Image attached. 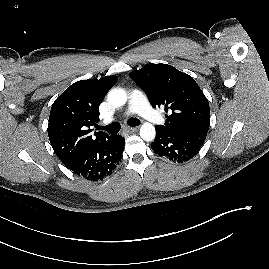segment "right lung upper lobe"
<instances>
[{"mask_svg":"<svg viewBox=\"0 0 269 269\" xmlns=\"http://www.w3.org/2000/svg\"><path fill=\"white\" fill-rule=\"evenodd\" d=\"M117 77L78 81L69 86L53 103L48 123L51 146L67 166L84 151L106 140L105 132H95L99 121V106Z\"/></svg>","mask_w":269,"mask_h":269,"instance_id":"1","label":"right lung upper lobe"}]
</instances>
